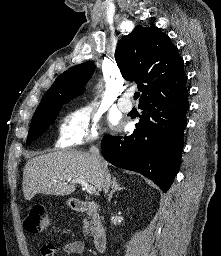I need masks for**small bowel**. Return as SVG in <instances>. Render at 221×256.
<instances>
[{
	"mask_svg": "<svg viewBox=\"0 0 221 256\" xmlns=\"http://www.w3.org/2000/svg\"><path fill=\"white\" fill-rule=\"evenodd\" d=\"M58 250L70 255H81L84 253L85 244L80 240L65 243L62 247H57L52 243L45 244L41 249V256H55Z\"/></svg>",
	"mask_w": 221,
	"mask_h": 256,
	"instance_id": "obj_1",
	"label": "small bowel"
}]
</instances>
